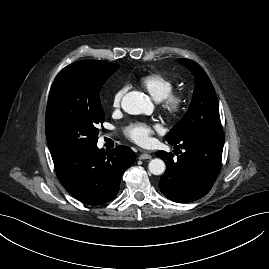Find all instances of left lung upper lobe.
I'll use <instances>...</instances> for the list:
<instances>
[{"mask_svg":"<svg viewBox=\"0 0 269 269\" xmlns=\"http://www.w3.org/2000/svg\"><path fill=\"white\" fill-rule=\"evenodd\" d=\"M178 61L194 74L195 89L186 114L165 137L169 144L179 143L185 137L200 130H222L218 100L207 74L192 60L179 59Z\"/></svg>","mask_w":269,"mask_h":269,"instance_id":"5c2ea615","label":"left lung upper lobe"}]
</instances>
